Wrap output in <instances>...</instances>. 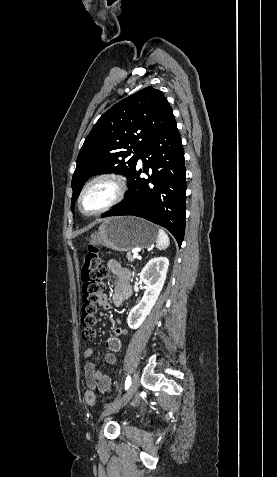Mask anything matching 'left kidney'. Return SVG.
Listing matches in <instances>:
<instances>
[{"instance_id": "left-kidney-1", "label": "left kidney", "mask_w": 277, "mask_h": 477, "mask_svg": "<svg viewBox=\"0 0 277 477\" xmlns=\"http://www.w3.org/2000/svg\"><path fill=\"white\" fill-rule=\"evenodd\" d=\"M169 260L166 257L151 259L140 273V280L146 285L141 301L131 309L127 323L131 329H138L155 305L164 286Z\"/></svg>"}]
</instances>
